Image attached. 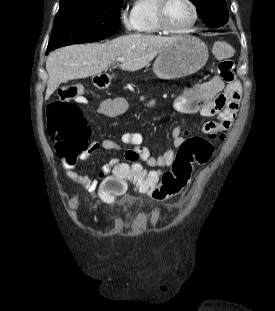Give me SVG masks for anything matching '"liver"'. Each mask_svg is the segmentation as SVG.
I'll list each match as a JSON object with an SVG mask.
<instances>
[{
  "label": "liver",
  "instance_id": "6515ba94",
  "mask_svg": "<svg viewBox=\"0 0 275 311\" xmlns=\"http://www.w3.org/2000/svg\"><path fill=\"white\" fill-rule=\"evenodd\" d=\"M179 37L129 34L103 44L71 45L50 54L46 61L49 75L48 99L60 84L98 75L121 57L120 68L137 71L147 66L164 48Z\"/></svg>",
  "mask_w": 275,
  "mask_h": 311
}]
</instances>
